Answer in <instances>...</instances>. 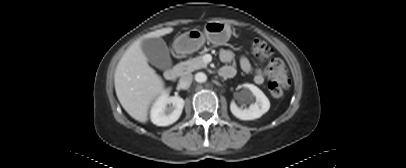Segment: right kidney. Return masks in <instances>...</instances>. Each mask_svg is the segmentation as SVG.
<instances>
[{
	"instance_id": "obj_1",
	"label": "right kidney",
	"mask_w": 406,
	"mask_h": 168,
	"mask_svg": "<svg viewBox=\"0 0 406 168\" xmlns=\"http://www.w3.org/2000/svg\"><path fill=\"white\" fill-rule=\"evenodd\" d=\"M184 103L181 97H169L168 93L164 92L151 108L150 118L152 123L157 126L173 124L181 116Z\"/></svg>"
}]
</instances>
